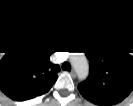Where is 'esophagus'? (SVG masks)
I'll return each mask as SVG.
<instances>
[{
    "label": "esophagus",
    "instance_id": "1",
    "mask_svg": "<svg viewBox=\"0 0 133 106\" xmlns=\"http://www.w3.org/2000/svg\"><path fill=\"white\" fill-rule=\"evenodd\" d=\"M70 74H71V76H72L73 78L76 77V72H75V70H72V71L70 72Z\"/></svg>",
    "mask_w": 133,
    "mask_h": 106
}]
</instances>
